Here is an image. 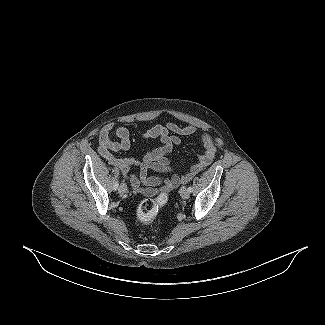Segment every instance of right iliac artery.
Instances as JSON below:
<instances>
[{"label":"right iliac artery","instance_id":"1","mask_svg":"<svg viewBox=\"0 0 325 325\" xmlns=\"http://www.w3.org/2000/svg\"><path fill=\"white\" fill-rule=\"evenodd\" d=\"M118 186H119V183H118V181H117V182H115V184L113 185V189H114V190H117V189H118Z\"/></svg>","mask_w":325,"mask_h":325}]
</instances>
